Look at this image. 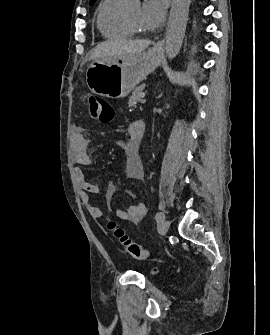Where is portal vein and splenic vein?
Returning <instances> with one entry per match:
<instances>
[{
	"instance_id": "obj_1",
	"label": "portal vein and splenic vein",
	"mask_w": 270,
	"mask_h": 335,
	"mask_svg": "<svg viewBox=\"0 0 270 335\" xmlns=\"http://www.w3.org/2000/svg\"><path fill=\"white\" fill-rule=\"evenodd\" d=\"M141 100H142L141 102L144 104L147 101V98H145L144 96H142Z\"/></svg>"
}]
</instances>
